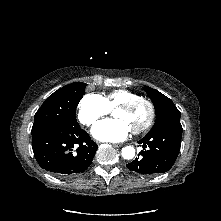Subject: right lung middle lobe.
Masks as SVG:
<instances>
[{
  "label": "right lung middle lobe",
  "mask_w": 221,
  "mask_h": 221,
  "mask_svg": "<svg viewBox=\"0 0 221 221\" xmlns=\"http://www.w3.org/2000/svg\"><path fill=\"white\" fill-rule=\"evenodd\" d=\"M87 84L75 82L51 94L35 114L31 134L51 125L79 126L75 112Z\"/></svg>",
  "instance_id": "obj_1"
}]
</instances>
